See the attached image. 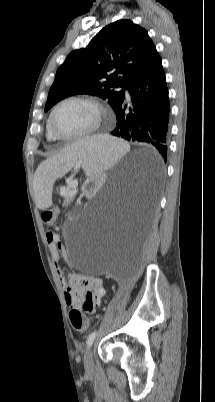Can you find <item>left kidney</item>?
<instances>
[{
  "label": "left kidney",
  "instance_id": "1",
  "mask_svg": "<svg viewBox=\"0 0 215 402\" xmlns=\"http://www.w3.org/2000/svg\"><path fill=\"white\" fill-rule=\"evenodd\" d=\"M106 175L104 169H97L93 175H88L86 179V184H83L82 191L83 193H96L97 187H102L103 180Z\"/></svg>",
  "mask_w": 215,
  "mask_h": 402
}]
</instances>
